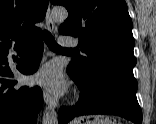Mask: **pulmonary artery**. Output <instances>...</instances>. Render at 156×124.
<instances>
[{"mask_svg": "<svg viewBox=\"0 0 156 124\" xmlns=\"http://www.w3.org/2000/svg\"><path fill=\"white\" fill-rule=\"evenodd\" d=\"M60 44L64 47H70L75 46L77 44V41L75 38L62 37Z\"/></svg>", "mask_w": 156, "mask_h": 124, "instance_id": "obj_1", "label": "pulmonary artery"}]
</instances>
